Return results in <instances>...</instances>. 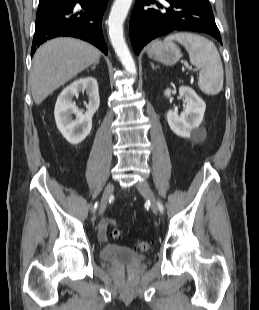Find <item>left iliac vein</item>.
Instances as JSON below:
<instances>
[{
    "instance_id": "left-iliac-vein-1",
    "label": "left iliac vein",
    "mask_w": 259,
    "mask_h": 310,
    "mask_svg": "<svg viewBox=\"0 0 259 310\" xmlns=\"http://www.w3.org/2000/svg\"><path fill=\"white\" fill-rule=\"evenodd\" d=\"M137 190L141 195L149 200L151 205V210L154 214H158V204L155 194L153 193L150 185L146 181L139 182L137 185Z\"/></svg>"
}]
</instances>
